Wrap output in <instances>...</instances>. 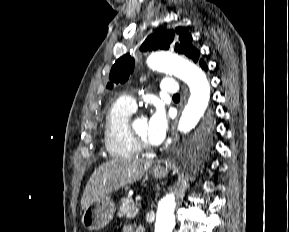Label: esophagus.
<instances>
[{"label":"esophagus","mask_w":289,"mask_h":232,"mask_svg":"<svg viewBox=\"0 0 289 232\" xmlns=\"http://www.w3.org/2000/svg\"><path fill=\"white\" fill-rule=\"evenodd\" d=\"M176 126H177V121H175V123L172 127V135H173L172 147H175L179 141V136L176 132Z\"/></svg>","instance_id":"34e87169"}]
</instances>
